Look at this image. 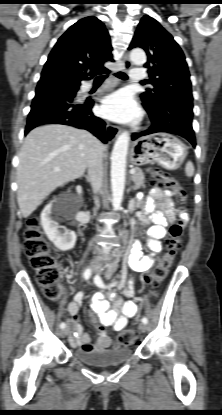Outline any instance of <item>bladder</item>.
<instances>
[{"mask_svg":"<svg viewBox=\"0 0 222 415\" xmlns=\"http://www.w3.org/2000/svg\"><path fill=\"white\" fill-rule=\"evenodd\" d=\"M72 355L80 363L101 368L116 366L126 362L133 356V350L124 347L102 352L76 350Z\"/></svg>","mask_w":222,"mask_h":415,"instance_id":"bladder-1","label":"bladder"}]
</instances>
